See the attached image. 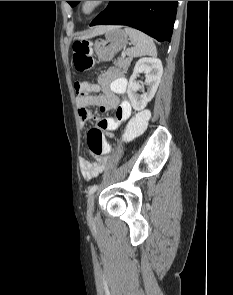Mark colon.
<instances>
[{"label":"colon","mask_w":233,"mask_h":295,"mask_svg":"<svg viewBox=\"0 0 233 295\" xmlns=\"http://www.w3.org/2000/svg\"><path fill=\"white\" fill-rule=\"evenodd\" d=\"M73 62L77 71L84 72L92 69L94 62L91 57L90 44L88 41H76L73 44ZM77 95H91L98 91V86L90 82H76ZM149 119V111H139L128 123L125 139L131 140L140 135L146 128ZM87 145L93 156L106 154L110 150L109 144L104 138V133L99 128H92L87 134Z\"/></svg>","instance_id":"5ec220e1"}]
</instances>
